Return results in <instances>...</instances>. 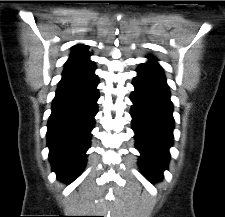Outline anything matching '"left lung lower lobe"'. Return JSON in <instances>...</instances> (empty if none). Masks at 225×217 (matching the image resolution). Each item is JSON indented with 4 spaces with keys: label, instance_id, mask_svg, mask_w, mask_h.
I'll use <instances>...</instances> for the list:
<instances>
[{
    "label": "left lung lower lobe",
    "instance_id": "left-lung-lower-lobe-1",
    "mask_svg": "<svg viewBox=\"0 0 225 217\" xmlns=\"http://www.w3.org/2000/svg\"><path fill=\"white\" fill-rule=\"evenodd\" d=\"M131 93L132 128L136 148L141 153L139 165L150 181L162 179L172 145L174 119L172 102L162 68L151 60L139 66Z\"/></svg>",
    "mask_w": 225,
    "mask_h": 217
}]
</instances>
